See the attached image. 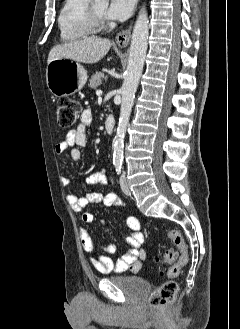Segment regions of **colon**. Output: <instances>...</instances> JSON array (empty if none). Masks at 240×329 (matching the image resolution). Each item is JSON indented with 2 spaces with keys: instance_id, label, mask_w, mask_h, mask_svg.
I'll use <instances>...</instances> for the list:
<instances>
[{
  "instance_id": "obj_1",
  "label": "colon",
  "mask_w": 240,
  "mask_h": 329,
  "mask_svg": "<svg viewBox=\"0 0 240 329\" xmlns=\"http://www.w3.org/2000/svg\"><path fill=\"white\" fill-rule=\"evenodd\" d=\"M81 116V106L78 102L68 98H61L57 102L58 124L65 129L72 127ZM169 238L177 250H168L161 262L169 265L165 272L166 279L161 282L149 295V304L154 308H166L172 305L177 297L178 285L175 278L188 263V249L182 234L178 230H171Z\"/></svg>"
}]
</instances>
